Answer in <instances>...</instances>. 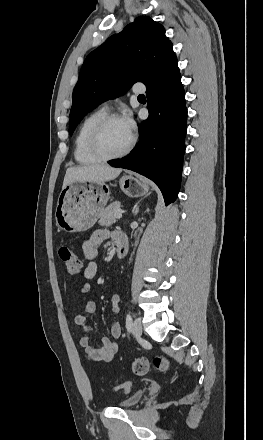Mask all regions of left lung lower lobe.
Segmentation results:
<instances>
[{"mask_svg": "<svg viewBox=\"0 0 263 440\" xmlns=\"http://www.w3.org/2000/svg\"><path fill=\"white\" fill-rule=\"evenodd\" d=\"M145 85L149 117L141 124L139 143L128 156L108 163L153 180L168 205L179 192L187 131L185 92L177 59L158 70Z\"/></svg>", "mask_w": 263, "mask_h": 440, "instance_id": "left-lung-lower-lobe-1", "label": "left lung lower lobe"}]
</instances>
